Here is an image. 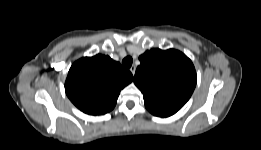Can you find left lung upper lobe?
Instances as JSON below:
<instances>
[{"instance_id":"1","label":"left lung upper lobe","mask_w":261,"mask_h":150,"mask_svg":"<svg viewBox=\"0 0 261 150\" xmlns=\"http://www.w3.org/2000/svg\"><path fill=\"white\" fill-rule=\"evenodd\" d=\"M134 83L143 93L145 107L155 116L175 114L196 86V71L182 52L151 49L139 57Z\"/></svg>"}]
</instances>
